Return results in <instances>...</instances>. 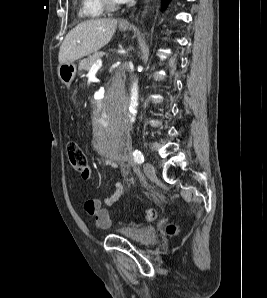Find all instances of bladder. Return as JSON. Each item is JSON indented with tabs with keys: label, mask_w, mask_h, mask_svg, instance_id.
<instances>
[{
	"label": "bladder",
	"mask_w": 267,
	"mask_h": 298,
	"mask_svg": "<svg viewBox=\"0 0 267 298\" xmlns=\"http://www.w3.org/2000/svg\"><path fill=\"white\" fill-rule=\"evenodd\" d=\"M119 234L130 241L143 246L152 245L158 239L156 230L150 226L125 228L122 229Z\"/></svg>",
	"instance_id": "1"
}]
</instances>
